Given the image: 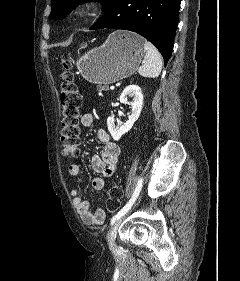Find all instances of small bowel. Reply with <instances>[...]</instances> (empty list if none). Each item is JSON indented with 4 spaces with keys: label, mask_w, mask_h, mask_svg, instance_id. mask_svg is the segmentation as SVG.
I'll use <instances>...</instances> for the list:
<instances>
[{
    "label": "small bowel",
    "mask_w": 240,
    "mask_h": 281,
    "mask_svg": "<svg viewBox=\"0 0 240 281\" xmlns=\"http://www.w3.org/2000/svg\"><path fill=\"white\" fill-rule=\"evenodd\" d=\"M93 120L94 118L91 113H85L81 116V124L84 127H90L93 124ZM96 135L103 144V147L100 155L93 156L91 160L92 168L98 174L92 179V187L96 191H103L105 179L115 172L120 147L111 140L110 135L104 129H97ZM68 171L75 182L81 181L83 172L78 164L71 163ZM71 195L74 206L85 224L97 226L103 223L105 219V210L103 208L92 210L90 203L82 197L77 187L72 189Z\"/></svg>",
    "instance_id": "small-bowel-1"
}]
</instances>
